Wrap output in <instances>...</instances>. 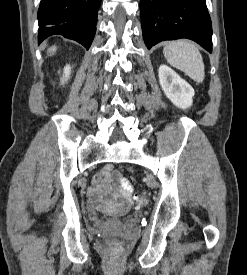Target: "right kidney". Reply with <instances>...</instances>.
<instances>
[{"label": "right kidney", "mask_w": 247, "mask_h": 275, "mask_svg": "<svg viewBox=\"0 0 247 275\" xmlns=\"http://www.w3.org/2000/svg\"><path fill=\"white\" fill-rule=\"evenodd\" d=\"M63 73L64 74H63V78L61 79V82L64 84V82H66L70 77L71 67L69 65L65 66Z\"/></svg>", "instance_id": "obj_1"}]
</instances>
